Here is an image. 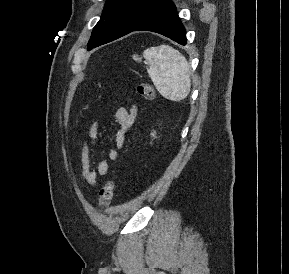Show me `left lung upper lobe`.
<instances>
[{"label":"left lung upper lobe","mask_w":289,"mask_h":274,"mask_svg":"<svg viewBox=\"0 0 289 274\" xmlns=\"http://www.w3.org/2000/svg\"><path fill=\"white\" fill-rule=\"evenodd\" d=\"M168 0H107L92 31L88 50L132 32Z\"/></svg>","instance_id":"left-lung-upper-lobe-1"}]
</instances>
